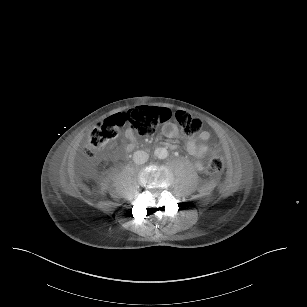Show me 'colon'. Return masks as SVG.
<instances>
[{"mask_svg":"<svg viewBox=\"0 0 307 307\" xmlns=\"http://www.w3.org/2000/svg\"><path fill=\"white\" fill-rule=\"evenodd\" d=\"M173 116L172 111L163 107L140 106L133 108L125 113L123 118L112 116L99 122L89 135L88 141L83 147V154L87 158L94 157L100 152L104 145L119 135L120 129L127 125L136 130L142 136L152 134L155 126L170 120ZM175 121L180 128L188 135L198 134L202 130V122L197 117L192 116L184 110L175 113ZM212 156L208 164V172L216 175L223 170V159L220 155L221 146L217 142L210 144Z\"/></svg>","mask_w":307,"mask_h":307,"instance_id":"1","label":"colon"}]
</instances>
